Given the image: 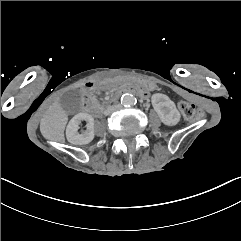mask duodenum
<instances>
[{
	"label": "duodenum",
	"mask_w": 241,
	"mask_h": 241,
	"mask_svg": "<svg viewBox=\"0 0 241 241\" xmlns=\"http://www.w3.org/2000/svg\"><path fill=\"white\" fill-rule=\"evenodd\" d=\"M101 85V82L94 81L89 84L83 89V106L85 110L89 111L94 116H99L101 113V110L99 107H97L93 100H92V93ZM131 93L136 94L142 98H145L148 95V92L144 89H141L134 85L125 86L119 90H116L112 93L110 100L115 101L119 97H121L123 94Z\"/></svg>",
	"instance_id": "1"
}]
</instances>
